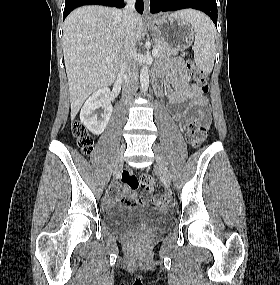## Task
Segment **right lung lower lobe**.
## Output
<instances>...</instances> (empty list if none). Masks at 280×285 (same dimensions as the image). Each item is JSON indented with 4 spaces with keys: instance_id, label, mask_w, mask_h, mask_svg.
Here are the masks:
<instances>
[{
    "instance_id": "obj_1",
    "label": "right lung lower lobe",
    "mask_w": 280,
    "mask_h": 285,
    "mask_svg": "<svg viewBox=\"0 0 280 285\" xmlns=\"http://www.w3.org/2000/svg\"><path fill=\"white\" fill-rule=\"evenodd\" d=\"M83 5H105L111 7H124V0H65L63 20L75 8ZM135 8L139 13H143V0H136Z\"/></svg>"
}]
</instances>
